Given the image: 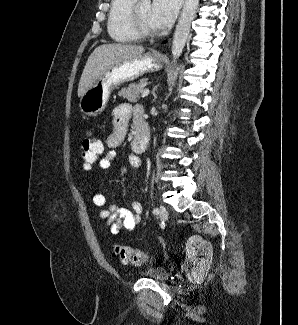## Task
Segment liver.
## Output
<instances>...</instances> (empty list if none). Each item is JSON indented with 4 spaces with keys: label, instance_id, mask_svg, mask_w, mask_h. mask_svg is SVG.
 <instances>
[{
    "label": "liver",
    "instance_id": "1",
    "mask_svg": "<svg viewBox=\"0 0 298 325\" xmlns=\"http://www.w3.org/2000/svg\"><path fill=\"white\" fill-rule=\"evenodd\" d=\"M145 46H138V44H99L88 56L85 66L80 76L77 94L80 98L89 86H92L98 78L105 74L108 68L120 64L123 60L135 58L139 54L145 52Z\"/></svg>",
    "mask_w": 298,
    "mask_h": 325
}]
</instances>
